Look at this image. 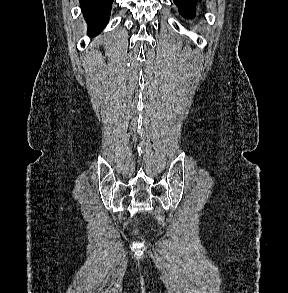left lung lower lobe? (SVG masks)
I'll return each instance as SVG.
<instances>
[{
  "mask_svg": "<svg viewBox=\"0 0 288 293\" xmlns=\"http://www.w3.org/2000/svg\"><path fill=\"white\" fill-rule=\"evenodd\" d=\"M179 8L180 14L185 18H194L196 15L195 3L198 0H173Z\"/></svg>",
  "mask_w": 288,
  "mask_h": 293,
  "instance_id": "left-lung-lower-lobe-1",
  "label": "left lung lower lobe"
}]
</instances>
